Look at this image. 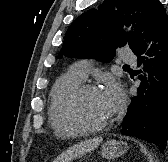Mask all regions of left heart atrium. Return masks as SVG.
<instances>
[{
	"mask_svg": "<svg viewBox=\"0 0 168 162\" xmlns=\"http://www.w3.org/2000/svg\"><path fill=\"white\" fill-rule=\"evenodd\" d=\"M108 111L112 116L122 106L124 95L122 89L114 82H110L102 92Z\"/></svg>",
	"mask_w": 168,
	"mask_h": 162,
	"instance_id": "left-heart-atrium-1",
	"label": "left heart atrium"
}]
</instances>
